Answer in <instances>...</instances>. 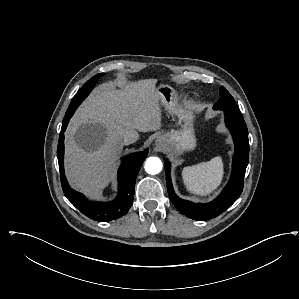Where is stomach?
<instances>
[{
	"label": "stomach",
	"instance_id": "1",
	"mask_svg": "<svg viewBox=\"0 0 299 299\" xmlns=\"http://www.w3.org/2000/svg\"><path fill=\"white\" fill-rule=\"evenodd\" d=\"M156 89L160 95V102L165 109L177 115L184 122L182 129L172 130L159 137L163 140V148L172 156L193 150L196 147L193 129L194 112L189 108L177 107V93L173 87L160 85Z\"/></svg>",
	"mask_w": 299,
	"mask_h": 299
}]
</instances>
